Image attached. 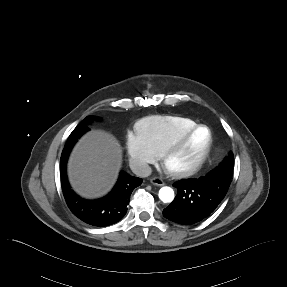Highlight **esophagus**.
Segmentation results:
<instances>
[{"instance_id": "esophagus-1", "label": "esophagus", "mask_w": 287, "mask_h": 287, "mask_svg": "<svg viewBox=\"0 0 287 287\" xmlns=\"http://www.w3.org/2000/svg\"><path fill=\"white\" fill-rule=\"evenodd\" d=\"M150 182L156 186H163L165 183L158 177H153L150 179Z\"/></svg>"}]
</instances>
